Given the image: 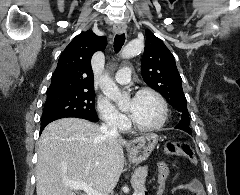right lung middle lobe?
<instances>
[{
    "mask_svg": "<svg viewBox=\"0 0 240 195\" xmlns=\"http://www.w3.org/2000/svg\"><path fill=\"white\" fill-rule=\"evenodd\" d=\"M77 115L97 116L94 91H68L47 95L41 122Z\"/></svg>",
    "mask_w": 240,
    "mask_h": 195,
    "instance_id": "dd1d6c3e",
    "label": "right lung middle lobe"
}]
</instances>
